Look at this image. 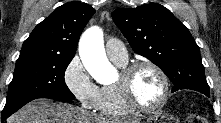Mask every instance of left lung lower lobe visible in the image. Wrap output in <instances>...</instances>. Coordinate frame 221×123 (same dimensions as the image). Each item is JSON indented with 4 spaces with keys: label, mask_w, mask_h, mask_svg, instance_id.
Masks as SVG:
<instances>
[{
    "label": "left lung lower lobe",
    "mask_w": 221,
    "mask_h": 123,
    "mask_svg": "<svg viewBox=\"0 0 221 123\" xmlns=\"http://www.w3.org/2000/svg\"><path fill=\"white\" fill-rule=\"evenodd\" d=\"M203 94H204V93H203ZM205 95H206V96H208V97L210 96V94H209V93H206Z\"/></svg>",
    "instance_id": "0a47b994"
}]
</instances>
